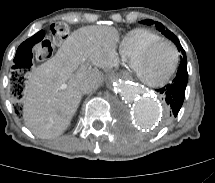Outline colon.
<instances>
[{
	"instance_id": "5ec220e1",
	"label": "colon",
	"mask_w": 215,
	"mask_h": 183,
	"mask_svg": "<svg viewBox=\"0 0 215 183\" xmlns=\"http://www.w3.org/2000/svg\"><path fill=\"white\" fill-rule=\"evenodd\" d=\"M69 35V27L64 22L54 23L47 29H37L33 32L32 38L28 37L19 44L16 49V57L7 62V70L11 76L12 91L11 111L17 120L24 118L21 111L22 101L25 98L24 83L25 76L29 73L33 62L45 61L49 59L54 52V44L65 40Z\"/></svg>"
}]
</instances>
